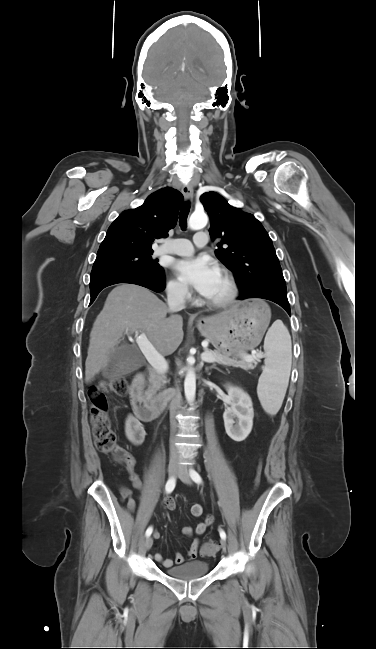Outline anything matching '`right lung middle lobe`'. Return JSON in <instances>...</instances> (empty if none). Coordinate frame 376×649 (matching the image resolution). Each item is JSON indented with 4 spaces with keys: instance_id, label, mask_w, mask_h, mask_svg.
<instances>
[{
    "instance_id": "obj_1",
    "label": "right lung middle lobe",
    "mask_w": 376,
    "mask_h": 649,
    "mask_svg": "<svg viewBox=\"0 0 376 649\" xmlns=\"http://www.w3.org/2000/svg\"><path fill=\"white\" fill-rule=\"evenodd\" d=\"M152 253L153 251H118L97 254L91 274L110 268L161 271L162 267L152 260Z\"/></svg>"
}]
</instances>
